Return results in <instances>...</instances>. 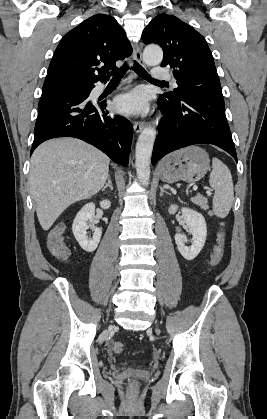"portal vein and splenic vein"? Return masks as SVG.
I'll use <instances>...</instances> for the list:
<instances>
[{"label":"portal vein and splenic vein","instance_id":"obj_1","mask_svg":"<svg viewBox=\"0 0 267 419\" xmlns=\"http://www.w3.org/2000/svg\"><path fill=\"white\" fill-rule=\"evenodd\" d=\"M197 189V187L196 186H194V190H196ZM207 194L208 195H211V190H207Z\"/></svg>","mask_w":267,"mask_h":419}]
</instances>
